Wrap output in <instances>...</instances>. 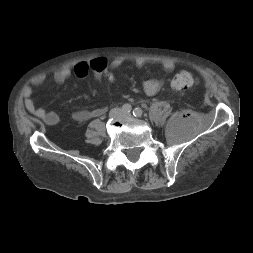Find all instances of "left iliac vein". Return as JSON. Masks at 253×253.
<instances>
[{"label": "left iliac vein", "instance_id": "4c4485c4", "mask_svg": "<svg viewBox=\"0 0 253 253\" xmlns=\"http://www.w3.org/2000/svg\"><path fill=\"white\" fill-rule=\"evenodd\" d=\"M124 116L130 117V114L129 113H124Z\"/></svg>", "mask_w": 253, "mask_h": 253}]
</instances>
